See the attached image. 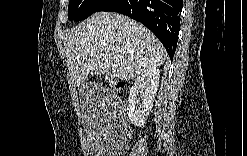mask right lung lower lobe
Listing matches in <instances>:
<instances>
[{
  "label": "right lung lower lobe",
  "mask_w": 247,
  "mask_h": 156,
  "mask_svg": "<svg viewBox=\"0 0 247 156\" xmlns=\"http://www.w3.org/2000/svg\"><path fill=\"white\" fill-rule=\"evenodd\" d=\"M181 10V0H107L99 9L118 12L144 24L161 41L171 59L176 50Z\"/></svg>",
  "instance_id": "obj_1"
}]
</instances>
